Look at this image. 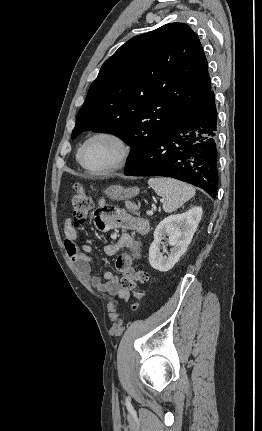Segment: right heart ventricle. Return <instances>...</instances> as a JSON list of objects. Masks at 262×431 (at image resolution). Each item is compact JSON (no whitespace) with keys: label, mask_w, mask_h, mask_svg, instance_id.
Here are the masks:
<instances>
[{"label":"right heart ventricle","mask_w":262,"mask_h":431,"mask_svg":"<svg viewBox=\"0 0 262 431\" xmlns=\"http://www.w3.org/2000/svg\"><path fill=\"white\" fill-rule=\"evenodd\" d=\"M78 154H79V150H78V153H77V160H78Z\"/></svg>","instance_id":"1"}]
</instances>
